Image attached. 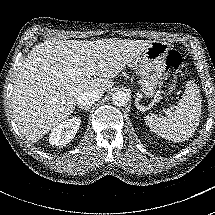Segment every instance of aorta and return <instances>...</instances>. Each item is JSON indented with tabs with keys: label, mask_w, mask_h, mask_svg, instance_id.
Returning a JSON list of instances; mask_svg holds the SVG:
<instances>
[{
	"label": "aorta",
	"mask_w": 215,
	"mask_h": 215,
	"mask_svg": "<svg viewBox=\"0 0 215 215\" xmlns=\"http://www.w3.org/2000/svg\"><path fill=\"white\" fill-rule=\"evenodd\" d=\"M130 96L126 91H117L112 96V103L116 107H124L128 105Z\"/></svg>",
	"instance_id": "1"
}]
</instances>
